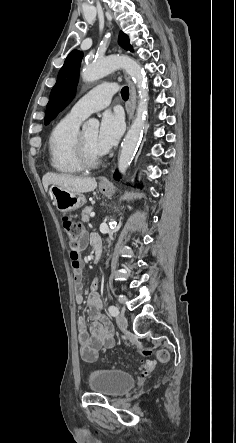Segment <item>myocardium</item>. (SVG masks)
Masks as SVG:
<instances>
[{
    "instance_id": "obj_1",
    "label": "myocardium",
    "mask_w": 236,
    "mask_h": 443,
    "mask_svg": "<svg viewBox=\"0 0 236 443\" xmlns=\"http://www.w3.org/2000/svg\"><path fill=\"white\" fill-rule=\"evenodd\" d=\"M74 150L76 160L82 169H93L99 165L101 161V154H90L84 141L83 131L79 130L77 133Z\"/></svg>"
}]
</instances>
